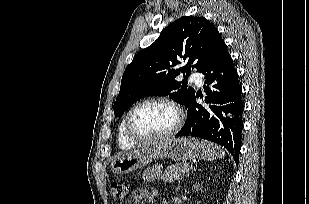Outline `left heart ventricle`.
<instances>
[{
    "instance_id": "obj_1",
    "label": "left heart ventricle",
    "mask_w": 309,
    "mask_h": 204,
    "mask_svg": "<svg viewBox=\"0 0 309 204\" xmlns=\"http://www.w3.org/2000/svg\"><path fill=\"white\" fill-rule=\"evenodd\" d=\"M176 119L175 112L167 105L152 103L141 107L133 116L132 127L142 135L155 136L169 130Z\"/></svg>"
}]
</instances>
